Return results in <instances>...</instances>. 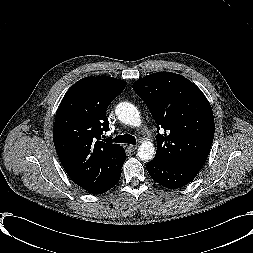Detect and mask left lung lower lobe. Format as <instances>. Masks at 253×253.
<instances>
[{"label": "left lung lower lobe", "instance_id": "1", "mask_svg": "<svg viewBox=\"0 0 253 253\" xmlns=\"http://www.w3.org/2000/svg\"><path fill=\"white\" fill-rule=\"evenodd\" d=\"M146 167L150 176L157 183L169 189H176L192 181L202 166L152 160L147 163Z\"/></svg>", "mask_w": 253, "mask_h": 253}]
</instances>
